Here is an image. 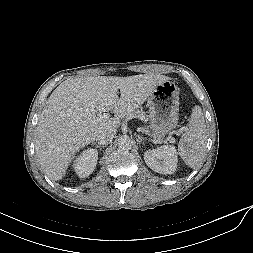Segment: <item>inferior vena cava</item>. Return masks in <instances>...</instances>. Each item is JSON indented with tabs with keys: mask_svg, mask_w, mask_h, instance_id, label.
<instances>
[{
	"mask_svg": "<svg viewBox=\"0 0 253 253\" xmlns=\"http://www.w3.org/2000/svg\"><path fill=\"white\" fill-rule=\"evenodd\" d=\"M115 134L116 128L112 126H106L98 131L95 139L98 144L104 145L110 143L113 140Z\"/></svg>",
	"mask_w": 253,
	"mask_h": 253,
	"instance_id": "obj_1",
	"label": "inferior vena cava"
}]
</instances>
